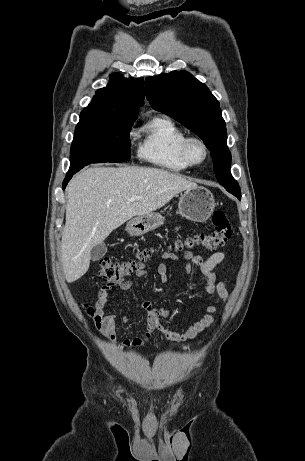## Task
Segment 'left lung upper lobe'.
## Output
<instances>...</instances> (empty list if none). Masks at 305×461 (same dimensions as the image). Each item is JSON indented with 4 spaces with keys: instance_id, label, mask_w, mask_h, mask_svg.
<instances>
[{
    "instance_id": "obj_1",
    "label": "left lung upper lobe",
    "mask_w": 305,
    "mask_h": 461,
    "mask_svg": "<svg viewBox=\"0 0 305 461\" xmlns=\"http://www.w3.org/2000/svg\"><path fill=\"white\" fill-rule=\"evenodd\" d=\"M145 90L155 110L183 123L203 139L211 151L218 182L240 199V187L230 173L225 121L209 89L187 71H173L146 78Z\"/></svg>"
}]
</instances>
